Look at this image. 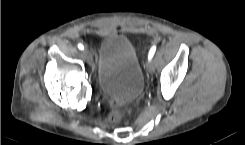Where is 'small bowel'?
Here are the masks:
<instances>
[{"label": "small bowel", "mask_w": 245, "mask_h": 145, "mask_svg": "<svg viewBox=\"0 0 245 145\" xmlns=\"http://www.w3.org/2000/svg\"><path fill=\"white\" fill-rule=\"evenodd\" d=\"M141 32H149V30L148 29H142V30H140Z\"/></svg>", "instance_id": "obj_1"}]
</instances>
